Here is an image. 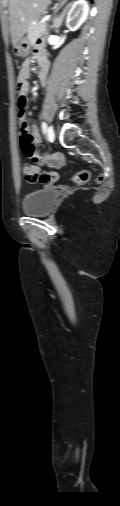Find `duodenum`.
Here are the masks:
<instances>
[{
  "label": "duodenum",
  "instance_id": "1",
  "mask_svg": "<svg viewBox=\"0 0 120 506\" xmlns=\"http://www.w3.org/2000/svg\"><path fill=\"white\" fill-rule=\"evenodd\" d=\"M39 62L43 63V62H44V58H41V59L39 60ZM40 77H43V73H42V72H41V74H40Z\"/></svg>",
  "mask_w": 120,
  "mask_h": 506
}]
</instances>
